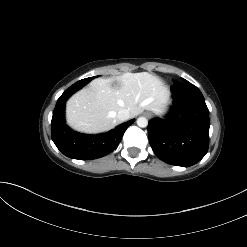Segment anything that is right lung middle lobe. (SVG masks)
I'll list each match as a JSON object with an SVG mask.
<instances>
[{
	"mask_svg": "<svg viewBox=\"0 0 247 247\" xmlns=\"http://www.w3.org/2000/svg\"><path fill=\"white\" fill-rule=\"evenodd\" d=\"M95 77H89V78H85L80 80L81 83L87 84L88 82H90L92 79H94Z\"/></svg>",
	"mask_w": 247,
	"mask_h": 247,
	"instance_id": "right-lung-middle-lobe-1",
	"label": "right lung middle lobe"
}]
</instances>
